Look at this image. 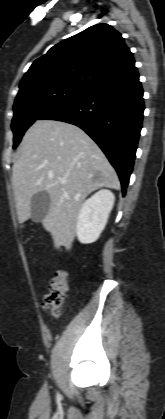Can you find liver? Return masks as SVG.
Instances as JSON below:
<instances>
[{"mask_svg":"<svg viewBox=\"0 0 165 419\" xmlns=\"http://www.w3.org/2000/svg\"><path fill=\"white\" fill-rule=\"evenodd\" d=\"M18 155L12 185L19 223L31 217L32 196L47 192L51 203L42 225L55 248L70 249L85 198L101 187L119 189L114 168L82 129L56 120H37L24 135Z\"/></svg>","mask_w":165,"mask_h":419,"instance_id":"liver-1","label":"liver"}]
</instances>
